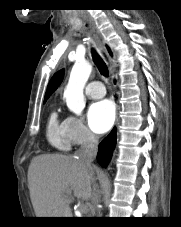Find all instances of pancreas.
<instances>
[{
    "instance_id": "pancreas-1",
    "label": "pancreas",
    "mask_w": 181,
    "mask_h": 227,
    "mask_svg": "<svg viewBox=\"0 0 181 227\" xmlns=\"http://www.w3.org/2000/svg\"><path fill=\"white\" fill-rule=\"evenodd\" d=\"M88 212H89V210L87 209V210H86V214H87Z\"/></svg>"
}]
</instances>
